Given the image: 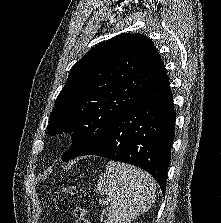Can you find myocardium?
Listing matches in <instances>:
<instances>
[{"instance_id":"obj_1","label":"myocardium","mask_w":221,"mask_h":223,"mask_svg":"<svg viewBox=\"0 0 221 223\" xmlns=\"http://www.w3.org/2000/svg\"><path fill=\"white\" fill-rule=\"evenodd\" d=\"M79 136V130L76 126H70L63 131V137L67 141H73Z\"/></svg>"}]
</instances>
